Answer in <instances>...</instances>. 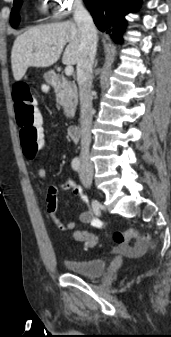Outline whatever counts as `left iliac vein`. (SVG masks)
Wrapping results in <instances>:
<instances>
[{"mask_svg": "<svg viewBox=\"0 0 171 337\" xmlns=\"http://www.w3.org/2000/svg\"><path fill=\"white\" fill-rule=\"evenodd\" d=\"M79 176L82 184L87 188L90 187L92 183V173L87 171L85 168H81L79 171Z\"/></svg>", "mask_w": 171, "mask_h": 337, "instance_id": "left-iliac-vein-1", "label": "left iliac vein"}]
</instances>
